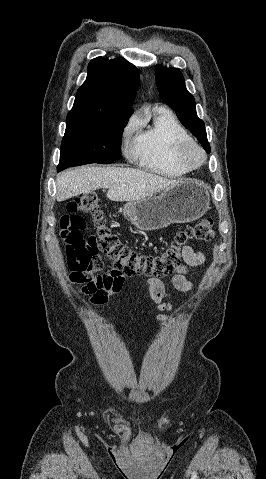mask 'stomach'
Listing matches in <instances>:
<instances>
[{"label":"stomach","mask_w":266,"mask_h":479,"mask_svg":"<svg viewBox=\"0 0 266 479\" xmlns=\"http://www.w3.org/2000/svg\"><path fill=\"white\" fill-rule=\"evenodd\" d=\"M209 203L206 186L196 180H186L159 195L127 202L122 213L138 229L153 231L174 223L195 221L205 214Z\"/></svg>","instance_id":"1"}]
</instances>
